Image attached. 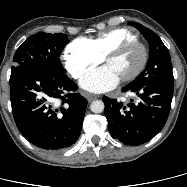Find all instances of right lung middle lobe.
<instances>
[{
    "label": "right lung middle lobe",
    "instance_id": "dd1d6c3e",
    "mask_svg": "<svg viewBox=\"0 0 187 187\" xmlns=\"http://www.w3.org/2000/svg\"><path fill=\"white\" fill-rule=\"evenodd\" d=\"M67 43L65 34L36 33L17 49L13 57L14 66L32 65L64 73L59 57Z\"/></svg>",
    "mask_w": 187,
    "mask_h": 187
}]
</instances>
